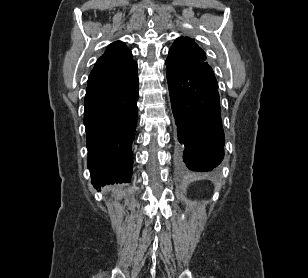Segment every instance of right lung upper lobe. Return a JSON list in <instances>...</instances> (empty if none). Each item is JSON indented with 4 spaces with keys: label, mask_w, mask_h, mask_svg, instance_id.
I'll return each mask as SVG.
<instances>
[{
    "label": "right lung upper lobe",
    "mask_w": 308,
    "mask_h": 278,
    "mask_svg": "<svg viewBox=\"0 0 308 278\" xmlns=\"http://www.w3.org/2000/svg\"><path fill=\"white\" fill-rule=\"evenodd\" d=\"M137 73L131 51L121 41L108 46L97 60L88 79L86 91L111 89L127 83Z\"/></svg>",
    "instance_id": "cb5924a9"
}]
</instances>
